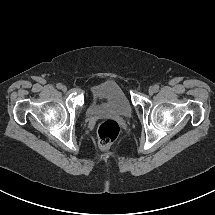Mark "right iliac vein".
<instances>
[{"instance_id": "obj_1", "label": "right iliac vein", "mask_w": 215, "mask_h": 215, "mask_svg": "<svg viewBox=\"0 0 215 215\" xmlns=\"http://www.w3.org/2000/svg\"><path fill=\"white\" fill-rule=\"evenodd\" d=\"M61 89H62V91H66L67 87L65 85H63Z\"/></svg>"}]
</instances>
